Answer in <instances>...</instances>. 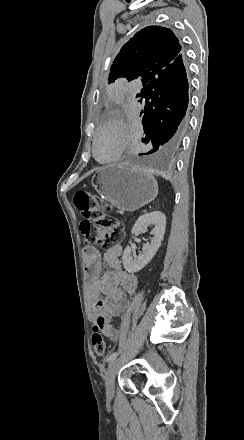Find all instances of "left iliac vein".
I'll list each match as a JSON object with an SVG mask.
<instances>
[{
	"instance_id": "left-iliac-vein-1",
	"label": "left iliac vein",
	"mask_w": 244,
	"mask_h": 440,
	"mask_svg": "<svg viewBox=\"0 0 244 440\" xmlns=\"http://www.w3.org/2000/svg\"><path fill=\"white\" fill-rule=\"evenodd\" d=\"M119 358L110 362L105 375V387L107 397H113L115 393V377L119 366Z\"/></svg>"
}]
</instances>
